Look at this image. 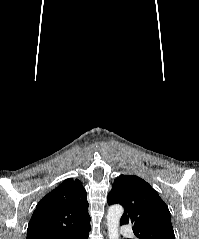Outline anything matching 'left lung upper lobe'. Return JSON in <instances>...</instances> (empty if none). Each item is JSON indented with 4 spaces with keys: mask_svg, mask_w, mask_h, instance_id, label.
<instances>
[{
    "mask_svg": "<svg viewBox=\"0 0 199 239\" xmlns=\"http://www.w3.org/2000/svg\"><path fill=\"white\" fill-rule=\"evenodd\" d=\"M108 204L124 207L120 224H132L139 239H175L167 205L143 179L119 176L108 194Z\"/></svg>",
    "mask_w": 199,
    "mask_h": 239,
    "instance_id": "5c2ea615",
    "label": "left lung upper lobe"
}]
</instances>
